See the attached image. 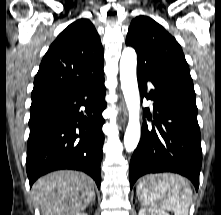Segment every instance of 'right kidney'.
Returning a JSON list of instances; mask_svg holds the SVG:
<instances>
[{"mask_svg": "<svg viewBox=\"0 0 221 215\" xmlns=\"http://www.w3.org/2000/svg\"><path fill=\"white\" fill-rule=\"evenodd\" d=\"M76 215H88V214L79 212Z\"/></svg>", "mask_w": 221, "mask_h": 215, "instance_id": "1", "label": "right kidney"}]
</instances>
